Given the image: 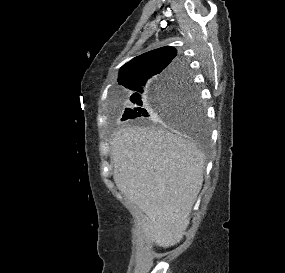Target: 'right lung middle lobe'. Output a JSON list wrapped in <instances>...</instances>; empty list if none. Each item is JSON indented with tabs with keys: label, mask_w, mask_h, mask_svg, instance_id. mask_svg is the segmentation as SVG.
I'll return each mask as SVG.
<instances>
[{
	"label": "right lung middle lobe",
	"mask_w": 285,
	"mask_h": 273,
	"mask_svg": "<svg viewBox=\"0 0 285 273\" xmlns=\"http://www.w3.org/2000/svg\"><path fill=\"white\" fill-rule=\"evenodd\" d=\"M130 101L131 107L125 109L121 120L165 121L189 130H201L206 124L199 94L186 69L157 80Z\"/></svg>",
	"instance_id": "right-lung-middle-lobe-1"
}]
</instances>
